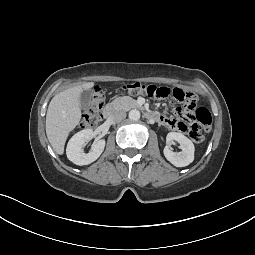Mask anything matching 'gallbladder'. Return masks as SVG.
<instances>
[{
    "label": "gallbladder",
    "mask_w": 255,
    "mask_h": 255,
    "mask_svg": "<svg viewBox=\"0 0 255 255\" xmlns=\"http://www.w3.org/2000/svg\"><path fill=\"white\" fill-rule=\"evenodd\" d=\"M92 91L87 89L80 94V106L85 108L89 105L91 100Z\"/></svg>",
    "instance_id": "bac80fb5"
}]
</instances>
